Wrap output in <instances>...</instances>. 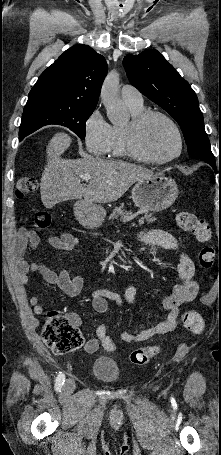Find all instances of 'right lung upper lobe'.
I'll use <instances>...</instances> for the list:
<instances>
[{
	"label": "right lung upper lobe",
	"mask_w": 221,
	"mask_h": 455,
	"mask_svg": "<svg viewBox=\"0 0 221 455\" xmlns=\"http://www.w3.org/2000/svg\"><path fill=\"white\" fill-rule=\"evenodd\" d=\"M106 74L102 55L87 45L72 46L40 75L26 105L95 108Z\"/></svg>",
	"instance_id": "1"
}]
</instances>
